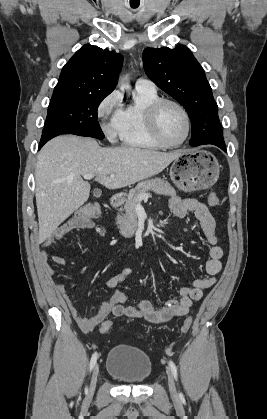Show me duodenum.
I'll use <instances>...</instances> for the list:
<instances>
[{
	"mask_svg": "<svg viewBox=\"0 0 267 419\" xmlns=\"http://www.w3.org/2000/svg\"><path fill=\"white\" fill-rule=\"evenodd\" d=\"M124 201V197L120 194L114 195L111 199H110V204L113 207H119Z\"/></svg>",
	"mask_w": 267,
	"mask_h": 419,
	"instance_id": "duodenum-1",
	"label": "duodenum"
}]
</instances>
